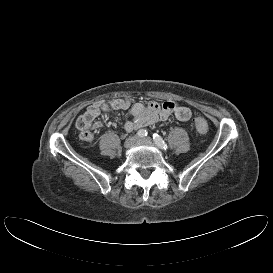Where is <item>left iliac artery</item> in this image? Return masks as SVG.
<instances>
[{"label":"left iliac artery","instance_id":"obj_1","mask_svg":"<svg viewBox=\"0 0 273 273\" xmlns=\"http://www.w3.org/2000/svg\"><path fill=\"white\" fill-rule=\"evenodd\" d=\"M153 140L154 142L157 144L158 147H160L161 149L166 150L168 148L167 144L165 143V141L162 139V137L160 135H158L157 133L153 134Z\"/></svg>","mask_w":273,"mask_h":273}]
</instances>
